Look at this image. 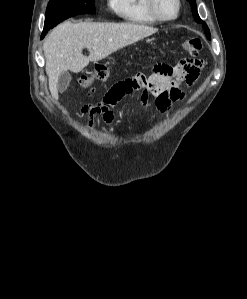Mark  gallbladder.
<instances>
[{
	"label": "gallbladder",
	"mask_w": 247,
	"mask_h": 299,
	"mask_svg": "<svg viewBox=\"0 0 247 299\" xmlns=\"http://www.w3.org/2000/svg\"><path fill=\"white\" fill-rule=\"evenodd\" d=\"M71 78V74L68 71H65L59 75L57 89L60 93H63L68 88Z\"/></svg>",
	"instance_id": "obj_1"
}]
</instances>
